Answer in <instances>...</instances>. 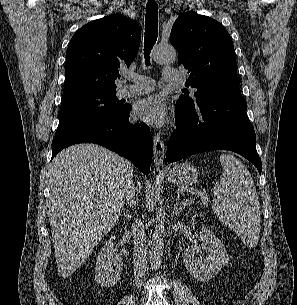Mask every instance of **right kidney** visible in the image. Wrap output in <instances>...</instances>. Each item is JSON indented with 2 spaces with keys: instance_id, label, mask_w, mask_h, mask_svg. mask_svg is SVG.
<instances>
[{
  "instance_id": "right-kidney-1",
  "label": "right kidney",
  "mask_w": 297,
  "mask_h": 305,
  "mask_svg": "<svg viewBox=\"0 0 297 305\" xmlns=\"http://www.w3.org/2000/svg\"><path fill=\"white\" fill-rule=\"evenodd\" d=\"M115 239L116 237L112 236L96 258L95 281L105 288L114 287L123 270L122 260L114 249Z\"/></svg>"
}]
</instances>
